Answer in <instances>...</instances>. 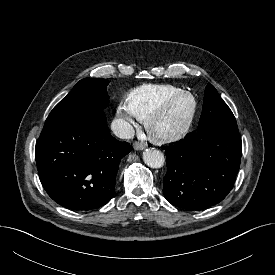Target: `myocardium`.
Returning a JSON list of instances; mask_svg holds the SVG:
<instances>
[{"label": "myocardium", "mask_w": 275, "mask_h": 275, "mask_svg": "<svg viewBox=\"0 0 275 275\" xmlns=\"http://www.w3.org/2000/svg\"><path fill=\"white\" fill-rule=\"evenodd\" d=\"M180 98H188L190 100V110L183 124L176 130H173L170 132H165V133L156 132L154 130V124L156 120L160 116H162ZM196 112H197V100L195 96L189 91L181 90L173 94L166 100H164L158 106H156L144 119V126L148 135L154 141L161 142V143L175 142L183 138L189 132L190 128L194 123Z\"/></svg>", "instance_id": "f54148a6"}]
</instances>
